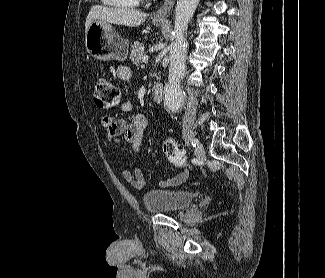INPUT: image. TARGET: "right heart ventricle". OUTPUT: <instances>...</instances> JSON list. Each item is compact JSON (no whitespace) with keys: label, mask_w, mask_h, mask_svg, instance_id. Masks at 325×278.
<instances>
[{"label":"right heart ventricle","mask_w":325,"mask_h":278,"mask_svg":"<svg viewBox=\"0 0 325 278\" xmlns=\"http://www.w3.org/2000/svg\"><path fill=\"white\" fill-rule=\"evenodd\" d=\"M105 5L119 8V9H131L135 8L139 4V0H101Z\"/></svg>","instance_id":"e07e8e85"}]
</instances>
